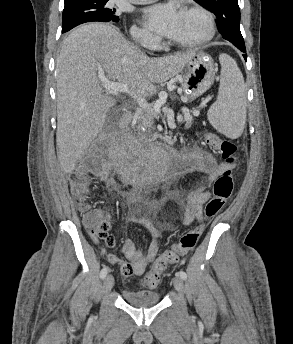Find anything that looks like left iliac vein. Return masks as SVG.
I'll return each mask as SVG.
<instances>
[{
  "label": "left iliac vein",
  "mask_w": 293,
  "mask_h": 344,
  "mask_svg": "<svg viewBox=\"0 0 293 344\" xmlns=\"http://www.w3.org/2000/svg\"><path fill=\"white\" fill-rule=\"evenodd\" d=\"M174 288L176 289V291L180 294L183 295L184 294V284H183V280L182 278H180L179 276H175L172 279Z\"/></svg>",
  "instance_id": "obj_1"
}]
</instances>
